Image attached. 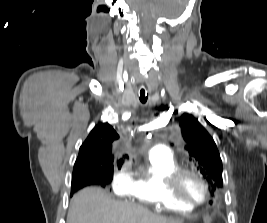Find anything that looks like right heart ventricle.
Segmentation results:
<instances>
[{"label": "right heart ventricle", "instance_id": "e07e8e85", "mask_svg": "<svg viewBox=\"0 0 267 223\" xmlns=\"http://www.w3.org/2000/svg\"><path fill=\"white\" fill-rule=\"evenodd\" d=\"M180 168L172 157H153L149 155L148 165L131 177L126 195L138 204H146L154 209H167L179 213H189L193 207L172 199L166 192L167 176Z\"/></svg>", "mask_w": 267, "mask_h": 223}]
</instances>
